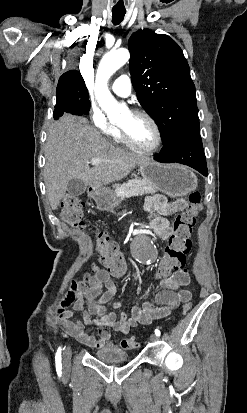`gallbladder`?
Masks as SVG:
<instances>
[{"instance_id":"obj_1","label":"gallbladder","mask_w":247,"mask_h":413,"mask_svg":"<svg viewBox=\"0 0 247 413\" xmlns=\"http://www.w3.org/2000/svg\"><path fill=\"white\" fill-rule=\"evenodd\" d=\"M67 190L69 196L76 198V196H79V194H82V192L86 190V182L81 180V178H72V180L68 182Z\"/></svg>"}]
</instances>
